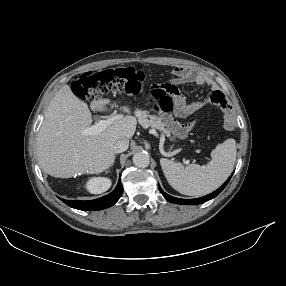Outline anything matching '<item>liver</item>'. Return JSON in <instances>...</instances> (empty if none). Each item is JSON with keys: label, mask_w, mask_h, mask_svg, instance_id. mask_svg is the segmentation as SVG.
<instances>
[{"label": "liver", "mask_w": 286, "mask_h": 286, "mask_svg": "<svg viewBox=\"0 0 286 286\" xmlns=\"http://www.w3.org/2000/svg\"><path fill=\"white\" fill-rule=\"evenodd\" d=\"M94 111H107L104 99L93 101ZM120 110L129 114L128 106ZM92 123L87 104L62 86L51 100L37 136V154L43 171L58 178H71L76 173L99 174L114 163V144L120 138L131 139L137 121L122 117L96 135L82 131Z\"/></svg>", "instance_id": "obj_1"}]
</instances>
